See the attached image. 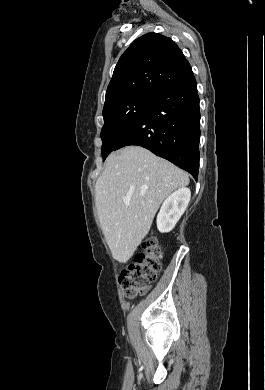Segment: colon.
I'll list each match as a JSON object with an SVG mask.
<instances>
[{
    "instance_id": "colon-1",
    "label": "colon",
    "mask_w": 265,
    "mask_h": 390,
    "mask_svg": "<svg viewBox=\"0 0 265 390\" xmlns=\"http://www.w3.org/2000/svg\"><path fill=\"white\" fill-rule=\"evenodd\" d=\"M133 263L124 269L119 276V283L127 298H134L148 291L156 281L161 267L162 249L155 238H148L142 244Z\"/></svg>"
}]
</instances>
